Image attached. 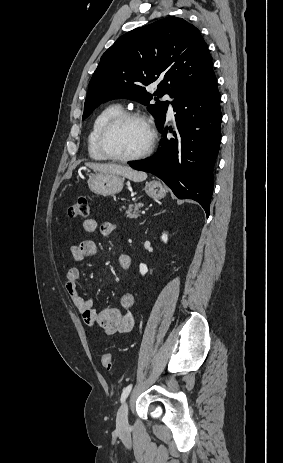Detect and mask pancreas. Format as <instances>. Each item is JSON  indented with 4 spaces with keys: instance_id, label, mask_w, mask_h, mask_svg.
<instances>
[{
    "instance_id": "pancreas-1",
    "label": "pancreas",
    "mask_w": 283,
    "mask_h": 463,
    "mask_svg": "<svg viewBox=\"0 0 283 463\" xmlns=\"http://www.w3.org/2000/svg\"><path fill=\"white\" fill-rule=\"evenodd\" d=\"M143 207L142 203H134L129 205L128 209L125 210L127 218H137L140 216V208ZM125 209V208H124Z\"/></svg>"
}]
</instances>
